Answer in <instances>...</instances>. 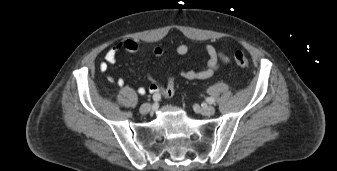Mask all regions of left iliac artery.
<instances>
[{
  "label": "left iliac artery",
  "mask_w": 337,
  "mask_h": 171,
  "mask_svg": "<svg viewBox=\"0 0 337 171\" xmlns=\"http://www.w3.org/2000/svg\"><path fill=\"white\" fill-rule=\"evenodd\" d=\"M206 101H207L209 104H214V103H215V99L212 98V97H208V98L206 99Z\"/></svg>",
  "instance_id": "44dca946"
}]
</instances>
